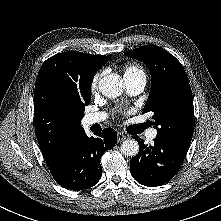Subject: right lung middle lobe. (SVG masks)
Segmentation results:
<instances>
[{"instance_id": "right-lung-middle-lobe-1", "label": "right lung middle lobe", "mask_w": 221, "mask_h": 221, "mask_svg": "<svg viewBox=\"0 0 221 221\" xmlns=\"http://www.w3.org/2000/svg\"><path fill=\"white\" fill-rule=\"evenodd\" d=\"M91 86H87L86 90L84 91L83 97L80 99L78 98L77 100V109L81 115V117L84 114V110H85V106L88 105V103L90 102V98H91V92H90Z\"/></svg>"}]
</instances>
